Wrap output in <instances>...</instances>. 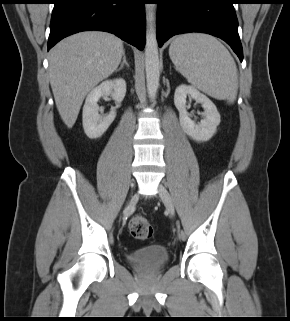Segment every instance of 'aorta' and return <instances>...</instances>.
Segmentation results:
<instances>
[{
	"mask_svg": "<svg viewBox=\"0 0 290 321\" xmlns=\"http://www.w3.org/2000/svg\"><path fill=\"white\" fill-rule=\"evenodd\" d=\"M155 4L145 5L146 41H145V70L146 83L150 99L153 101L159 87V53L156 38Z\"/></svg>",
	"mask_w": 290,
	"mask_h": 321,
	"instance_id": "obj_1",
	"label": "aorta"
}]
</instances>
